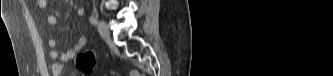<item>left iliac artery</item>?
<instances>
[{
	"mask_svg": "<svg viewBox=\"0 0 333 76\" xmlns=\"http://www.w3.org/2000/svg\"><path fill=\"white\" fill-rule=\"evenodd\" d=\"M90 22H91L92 24L96 25L97 22H98V17L95 16V15L91 16V17H90Z\"/></svg>",
	"mask_w": 333,
	"mask_h": 76,
	"instance_id": "left-iliac-artery-1",
	"label": "left iliac artery"
}]
</instances>
